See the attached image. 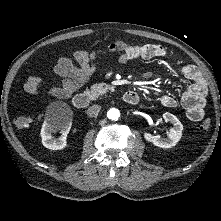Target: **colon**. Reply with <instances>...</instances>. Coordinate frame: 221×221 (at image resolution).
<instances>
[{
	"label": "colon",
	"instance_id": "obj_1",
	"mask_svg": "<svg viewBox=\"0 0 221 221\" xmlns=\"http://www.w3.org/2000/svg\"><path fill=\"white\" fill-rule=\"evenodd\" d=\"M40 83H41L40 77L31 76L26 81L24 88L28 93L35 94L39 90ZM30 122H31V119L29 117H19L16 120V125L19 128H25L30 124ZM211 126H212L211 120L206 119L201 124V130L203 132H209L211 130Z\"/></svg>",
	"mask_w": 221,
	"mask_h": 221
}]
</instances>
